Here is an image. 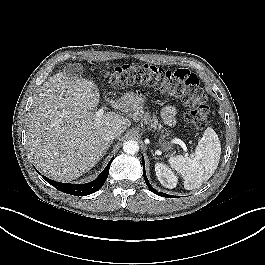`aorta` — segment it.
Wrapping results in <instances>:
<instances>
[{
    "mask_svg": "<svg viewBox=\"0 0 265 265\" xmlns=\"http://www.w3.org/2000/svg\"><path fill=\"white\" fill-rule=\"evenodd\" d=\"M123 150L125 153L133 155L139 151V145L137 141L128 140L123 144Z\"/></svg>",
    "mask_w": 265,
    "mask_h": 265,
    "instance_id": "aorta-1",
    "label": "aorta"
}]
</instances>
